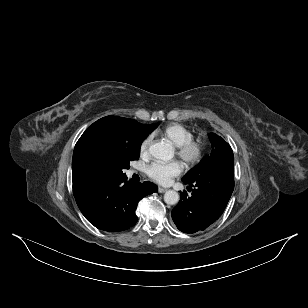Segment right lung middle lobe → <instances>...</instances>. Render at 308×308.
I'll return each instance as SVG.
<instances>
[{
    "label": "right lung middle lobe",
    "mask_w": 308,
    "mask_h": 308,
    "mask_svg": "<svg viewBox=\"0 0 308 308\" xmlns=\"http://www.w3.org/2000/svg\"><path fill=\"white\" fill-rule=\"evenodd\" d=\"M158 123L148 125L140 143L128 147H121L115 150L109 157L108 175L109 178H122L126 175L124 169L130 167V161L137 160L140 155V147L143 140L158 126Z\"/></svg>",
    "instance_id": "obj_1"
}]
</instances>
